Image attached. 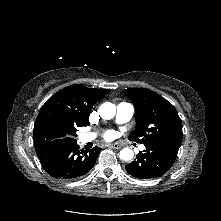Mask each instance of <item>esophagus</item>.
Here are the masks:
<instances>
[{
	"instance_id": "esophagus-1",
	"label": "esophagus",
	"mask_w": 221,
	"mask_h": 221,
	"mask_svg": "<svg viewBox=\"0 0 221 221\" xmlns=\"http://www.w3.org/2000/svg\"><path fill=\"white\" fill-rule=\"evenodd\" d=\"M109 147L113 149H120L121 145H119L118 143H113V144H110Z\"/></svg>"
}]
</instances>
